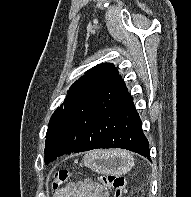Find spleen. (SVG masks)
I'll return each instance as SVG.
<instances>
[{
  "mask_svg": "<svg viewBox=\"0 0 191 197\" xmlns=\"http://www.w3.org/2000/svg\"><path fill=\"white\" fill-rule=\"evenodd\" d=\"M123 154H124L125 156H127L128 158H130V159L133 161V157H132L131 154H129V153L126 152V151H123Z\"/></svg>",
  "mask_w": 191,
  "mask_h": 197,
  "instance_id": "obj_1",
  "label": "spleen"
}]
</instances>
